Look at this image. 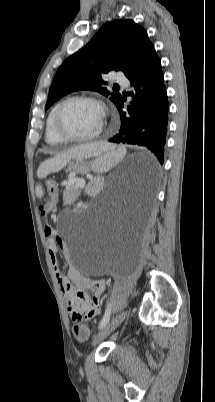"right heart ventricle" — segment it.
<instances>
[{"label":"right heart ventricle","instance_id":"obj_1","mask_svg":"<svg viewBox=\"0 0 215 402\" xmlns=\"http://www.w3.org/2000/svg\"><path fill=\"white\" fill-rule=\"evenodd\" d=\"M57 105H55L51 111L49 112V115L46 120V127H45V140L48 144L51 145H59L63 144L65 142L64 139L59 137L57 133L54 130L53 127V116H54V111Z\"/></svg>","mask_w":215,"mask_h":402}]
</instances>
